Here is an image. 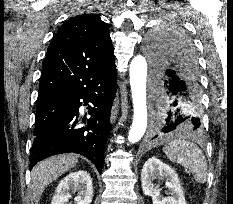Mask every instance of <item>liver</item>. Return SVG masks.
Segmentation results:
<instances>
[{"instance_id": "1", "label": "liver", "mask_w": 233, "mask_h": 204, "mask_svg": "<svg viewBox=\"0 0 233 204\" xmlns=\"http://www.w3.org/2000/svg\"><path fill=\"white\" fill-rule=\"evenodd\" d=\"M77 163L78 158L72 154L52 156L38 163L31 172V200L38 204L45 188Z\"/></svg>"}]
</instances>
